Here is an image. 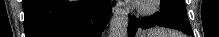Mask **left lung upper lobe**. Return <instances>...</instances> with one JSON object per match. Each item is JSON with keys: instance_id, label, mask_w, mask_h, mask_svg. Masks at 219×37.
I'll use <instances>...</instances> for the list:
<instances>
[{"instance_id": "1", "label": "left lung upper lobe", "mask_w": 219, "mask_h": 37, "mask_svg": "<svg viewBox=\"0 0 219 37\" xmlns=\"http://www.w3.org/2000/svg\"><path fill=\"white\" fill-rule=\"evenodd\" d=\"M161 14L170 17L188 30H192L186 11L185 0H161Z\"/></svg>"}]
</instances>
